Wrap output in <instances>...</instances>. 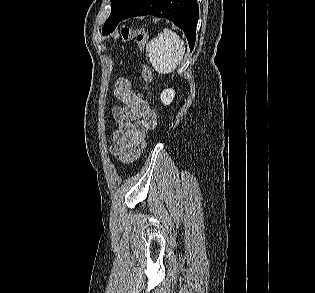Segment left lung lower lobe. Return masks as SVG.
Instances as JSON below:
<instances>
[{
  "label": "left lung lower lobe",
  "instance_id": "1",
  "mask_svg": "<svg viewBox=\"0 0 315 293\" xmlns=\"http://www.w3.org/2000/svg\"><path fill=\"white\" fill-rule=\"evenodd\" d=\"M144 15L163 17L172 21L184 31L190 49H193L198 21L196 0H139L122 20Z\"/></svg>",
  "mask_w": 315,
  "mask_h": 293
}]
</instances>
